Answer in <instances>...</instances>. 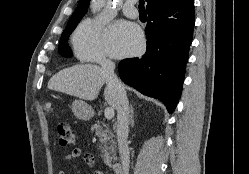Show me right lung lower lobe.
Masks as SVG:
<instances>
[{"label": "right lung lower lobe", "mask_w": 249, "mask_h": 174, "mask_svg": "<svg viewBox=\"0 0 249 174\" xmlns=\"http://www.w3.org/2000/svg\"><path fill=\"white\" fill-rule=\"evenodd\" d=\"M147 50L119 64L120 78L141 93L160 99L172 113L181 95L194 28V0H178L150 10Z\"/></svg>", "instance_id": "1"}]
</instances>
